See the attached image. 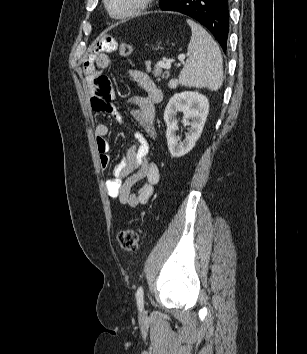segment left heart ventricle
Masks as SVG:
<instances>
[{
  "label": "left heart ventricle",
  "mask_w": 307,
  "mask_h": 354,
  "mask_svg": "<svg viewBox=\"0 0 307 354\" xmlns=\"http://www.w3.org/2000/svg\"><path fill=\"white\" fill-rule=\"evenodd\" d=\"M136 0H110V6L114 13H122L128 10Z\"/></svg>",
  "instance_id": "1"
}]
</instances>
